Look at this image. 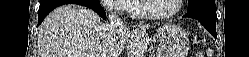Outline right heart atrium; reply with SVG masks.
<instances>
[{
	"label": "right heart atrium",
	"instance_id": "1",
	"mask_svg": "<svg viewBox=\"0 0 249 57\" xmlns=\"http://www.w3.org/2000/svg\"><path fill=\"white\" fill-rule=\"evenodd\" d=\"M128 0H105L103 4L114 14H123L129 10Z\"/></svg>",
	"mask_w": 249,
	"mask_h": 57
}]
</instances>
